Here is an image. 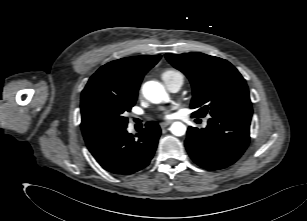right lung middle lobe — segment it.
Masks as SVG:
<instances>
[{
  "mask_svg": "<svg viewBox=\"0 0 307 221\" xmlns=\"http://www.w3.org/2000/svg\"><path fill=\"white\" fill-rule=\"evenodd\" d=\"M137 96L92 89L81 97V128L87 145L95 144L111 134L126 128L124 116L136 102Z\"/></svg>",
  "mask_w": 307,
  "mask_h": 221,
  "instance_id": "dd1d6c3e",
  "label": "right lung middle lobe"
}]
</instances>
